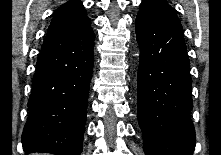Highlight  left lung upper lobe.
Segmentation results:
<instances>
[{
  "mask_svg": "<svg viewBox=\"0 0 221 155\" xmlns=\"http://www.w3.org/2000/svg\"><path fill=\"white\" fill-rule=\"evenodd\" d=\"M141 4L151 6L155 9L161 10L165 13L177 17L174 9L167 3L166 0H143Z\"/></svg>",
  "mask_w": 221,
  "mask_h": 155,
  "instance_id": "left-lung-upper-lobe-1",
  "label": "left lung upper lobe"
}]
</instances>
